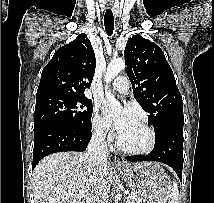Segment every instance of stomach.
<instances>
[{"label":"stomach","instance_id":"1","mask_svg":"<svg viewBox=\"0 0 214 203\" xmlns=\"http://www.w3.org/2000/svg\"><path fill=\"white\" fill-rule=\"evenodd\" d=\"M120 172L129 182L138 203H167L169 200L171 182L158 164L142 162Z\"/></svg>","mask_w":214,"mask_h":203}]
</instances>
